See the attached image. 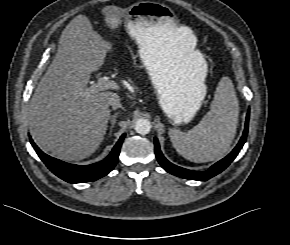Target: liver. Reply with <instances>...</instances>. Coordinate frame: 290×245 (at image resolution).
I'll use <instances>...</instances> for the list:
<instances>
[{
    "label": "liver",
    "mask_w": 290,
    "mask_h": 245,
    "mask_svg": "<svg viewBox=\"0 0 290 245\" xmlns=\"http://www.w3.org/2000/svg\"><path fill=\"white\" fill-rule=\"evenodd\" d=\"M105 16L108 22L120 19L116 14ZM111 47L85 16H78L65 29L62 47L31 102L33 134L45 149L84 158L99 146L110 118L109 103L118 95L90 91L87 85Z\"/></svg>",
    "instance_id": "6515ba94"
}]
</instances>
